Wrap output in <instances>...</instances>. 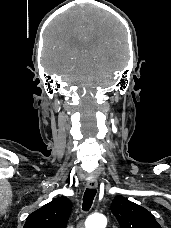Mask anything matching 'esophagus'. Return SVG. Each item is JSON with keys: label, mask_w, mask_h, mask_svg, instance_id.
Returning <instances> with one entry per match:
<instances>
[{"label": "esophagus", "mask_w": 171, "mask_h": 228, "mask_svg": "<svg viewBox=\"0 0 171 228\" xmlns=\"http://www.w3.org/2000/svg\"><path fill=\"white\" fill-rule=\"evenodd\" d=\"M97 180L95 177H91L87 181V188L89 189H96L97 188Z\"/></svg>", "instance_id": "1"}]
</instances>
